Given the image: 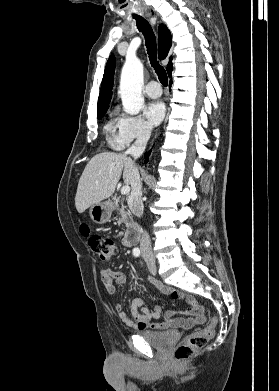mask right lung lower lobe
Masks as SVG:
<instances>
[{"label": "right lung lower lobe", "mask_w": 279, "mask_h": 391, "mask_svg": "<svg viewBox=\"0 0 279 391\" xmlns=\"http://www.w3.org/2000/svg\"><path fill=\"white\" fill-rule=\"evenodd\" d=\"M149 155H150V152H147V153H145V155H144V156H145V158H146V161H145V163H147Z\"/></svg>", "instance_id": "98d812e1"}]
</instances>
